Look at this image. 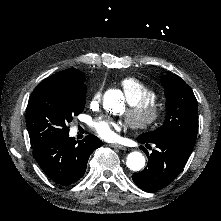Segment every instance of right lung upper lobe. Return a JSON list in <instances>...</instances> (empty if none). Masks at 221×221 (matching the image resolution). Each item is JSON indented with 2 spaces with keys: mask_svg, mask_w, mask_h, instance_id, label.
Returning a JSON list of instances; mask_svg holds the SVG:
<instances>
[{
  "mask_svg": "<svg viewBox=\"0 0 221 221\" xmlns=\"http://www.w3.org/2000/svg\"><path fill=\"white\" fill-rule=\"evenodd\" d=\"M84 79V75L81 71L76 68L67 69L61 72H58L50 77L46 78V80L55 81L58 83H72L78 82Z\"/></svg>",
  "mask_w": 221,
  "mask_h": 221,
  "instance_id": "obj_1",
  "label": "right lung upper lobe"
}]
</instances>
